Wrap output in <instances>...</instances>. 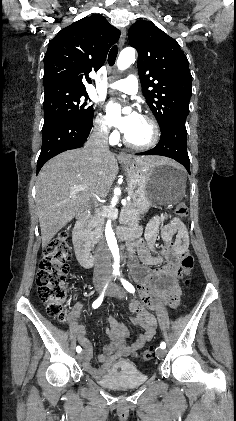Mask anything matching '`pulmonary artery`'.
I'll use <instances>...</instances> for the list:
<instances>
[{"label":"pulmonary artery","mask_w":236,"mask_h":421,"mask_svg":"<svg viewBox=\"0 0 236 421\" xmlns=\"http://www.w3.org/2000/svg\"><path fill=\"white\" fill-rule=\"evenodd\" d=\"M107 86L115 90L134 94L138 89V79L135 75H129L124 79L109 83Z\"/></svg>","instance_id":"e3ab8cb5"}]
</instances>
